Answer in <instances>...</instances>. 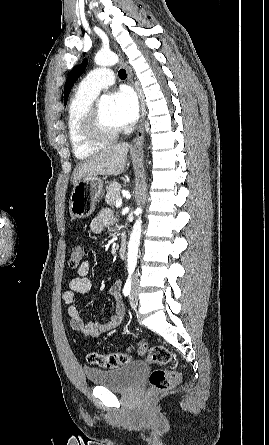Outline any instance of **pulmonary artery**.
<instances>
[{"mask_svg": "<svg viewBox=\"0 0 269 445\" xmlns=\"http://www.w3.org/2000/svg\"><path fill=\"white\" fill-rule=\"evenodd\" d=\"M115 82V76L112 70L100 67L91 71L81 82L79 88L83 91L97 96L98 93Z\"/></svg>", "mask_w": 269, "mask_h": 445, "instance_id": "obj_1", "label": "pulmonary artery"}]
</instances>
